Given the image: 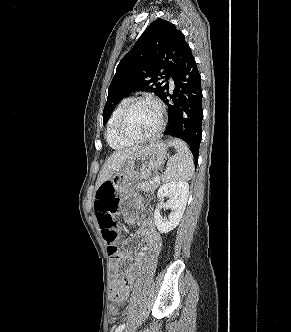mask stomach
<instances>
[{
  "label": "stomach",
  "mask_w": 291,
  "mask_h": 332,
  "mask_svg": "<svg viewBox=\"0 0 291 332\" xmlns=\"http://www.w3.org/2000/svg\"><path fill=\"white\" fill-rule=\"evenodd\" d=\"M167 149V144L161 141L141 148L110 178L118 196L120 213L137 208L140 197L131 187V183L147 179L153 171L161 168L168 156Z\"/></svg>",
  "instance_id": "1"
}]
</instances>
